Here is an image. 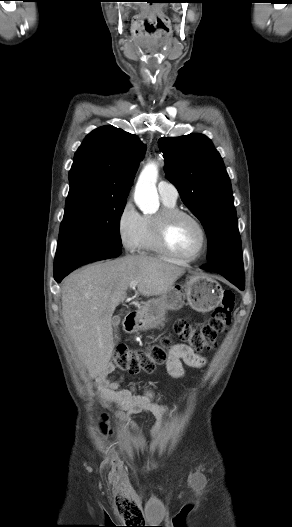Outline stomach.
<instances>
[{
  "label": "stomach",
  "instance_id": "stomach-1",
  "mask_svg": "<svg viewBox=\"0 0 292 527\" xmlns=\"http://www.w3.org/2000/svg\"><path fill=\"white\" fill-rule=\"evenodd\" d=\"M223 290L218 282L204 274L187 276L177 286L157 299L144 304L138 312L136 328L148 330L156 327L168 310H179L185 304L197 312L206 313L215 309L222 300Z\"/></svg>",
  "mask_w": 292,
  "mask_h": 527
}]
</instances>
